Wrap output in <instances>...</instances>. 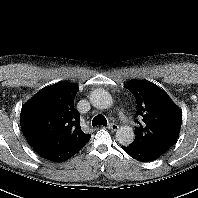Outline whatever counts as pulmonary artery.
I'll return each mask as SVG.
<instances>
[{"mask_svg":"<svg viewBox=\"0 0 198 198\" xmlns=\"http://www.w3.org/2000/svg\"><path fill=\"white\" fill-rule=\"evenodd\" d=\"M121 118L124 121H128L127 117L123 114V112H120Z\"/></svg>","mask_w":198,"mask_h":198,"instance_id":"e3ab8cb5","label":"pulmonary artery"}]
</instances>
